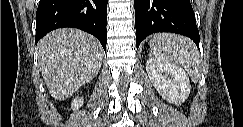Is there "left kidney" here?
Here are the masks:
<instances>
[{
  "label": "left kidney",
  "instance_id": "1",
  "mask_svg": "<svg viewBox=\"0 0 243 127\" xmlns=\"http://www.w3.org/2000/svg\"><path fill=\"white\" fill-rule=\"evenodd\" d=\"M146 71L158 93L169 103L178 105L188 98L191 90L190 81L181 67L149 59L146 62Z\"/></svg>",
  "mask_w": 243,
  "mask_h": 127
}]
</instances>
